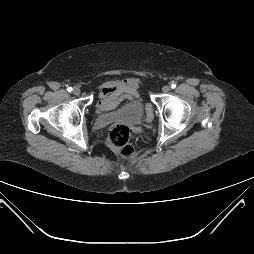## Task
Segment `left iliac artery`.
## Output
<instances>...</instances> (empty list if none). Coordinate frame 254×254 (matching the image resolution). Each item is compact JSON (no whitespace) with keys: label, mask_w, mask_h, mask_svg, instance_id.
<instances>
[{"label":"left iliac artery","mask_w":254,"mask_h":254,"mask_svg":"<svg viewBox=\"0 0 254 254\" xmlns=\"http://www.w3.org/2000/svg\"><path fill=\"white\" fill-rule=\"evenodd\" d=\"M175 87H176V85H175V84H172V85H171V88H173V89H174Z\"/></svg>","instance_id":"obj_1"}]
</instances>
